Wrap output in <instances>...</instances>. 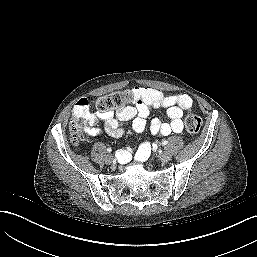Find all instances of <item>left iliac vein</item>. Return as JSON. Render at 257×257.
<instances>
[{
  "label": "left iliac vein",
  "mask_w": 257,
  "mask_h": 257,
  "mask_svg": "<svg viewBox=\"0 0 257 257\" xmlns=\"http://www.w3.org/2000/svg\"><path fill=\"white\" fill-rule=\"evenodd\" d=\"M159 159L162 162H168L171 159V153L169 151H164L159 154Z\"/></svg>",
  "instance_id": "4c4485c4"
}]
</instances>
